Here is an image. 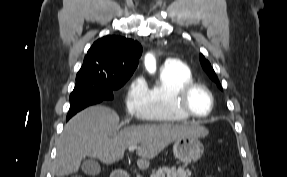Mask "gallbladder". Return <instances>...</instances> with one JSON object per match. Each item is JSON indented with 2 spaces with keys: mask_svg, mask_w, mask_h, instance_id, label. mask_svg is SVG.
I'll return each mask as SVG.
<instances>
[{
  "mask_svg": "<svg viewBox=\"0 0 287 177\" xmlns=\"http://www.w3.org/2000/svg\"><path fill=\"white\" fill-rule=\"evenodd\" d=\"M82 171L89 176H95L98 175L101 171L100 165L98 164V162L93 159H87L85 161H83L82 163Z\"/></svg>",
  "mask_w": 287,
  "mask_h": 177,
  "instance_id": "bac80fb5",
  "label": "gallbladder"
}]
</instances>
